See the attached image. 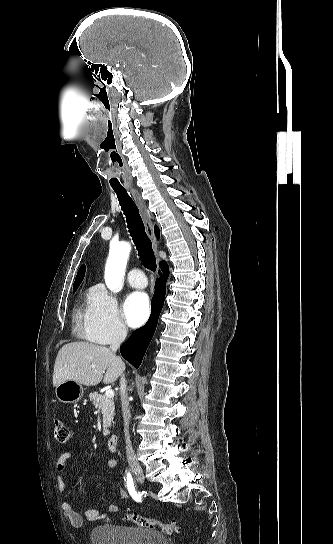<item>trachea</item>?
I'll return each mask as SVG.
<instances>
[{
	"label": "trachea",
	"mask_w": 333,
	"mask_h": 544,
	"mask_svg": "<svg viewBox=\"0 0 333 544\" xmlns=\"http://www.w3.org/2000/svg\"><path fill=\"white\" fill-rule=\"evenodd\" d=\"M114 191L117 194L121 209L126 216L128 229L138 250L139 256L144 266L154 272L156 269V259L153 253L152 243L145 232L139 210L126 190L114 189Z\"/></svg>",
	"instance_id": "obj_1"
}]
</instances>
